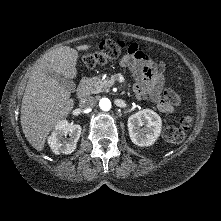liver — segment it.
<instances>
[{
  "label": "liver",
  "instance_id": "obj_1",
  "mask_svg": "<svg viewBox=\"0 0 221 221\" xmlns=\"http://www.w3.org/2000/svg\"><path fill=\"white\" fill-rule=\"evenodd\" d=\"M91 47L88 44L76 48L62 46L36 61L23 95L20 120L27 141L37 151L44 149L48 134L70 114L75 103L70 98V91L46 73L75 78L78 51H87Z\"/></svg>",
  "mask_w": 221,
  "mask_h": 221
}]
</instances>
